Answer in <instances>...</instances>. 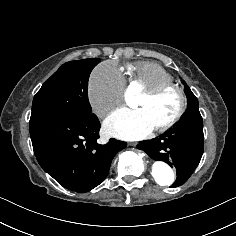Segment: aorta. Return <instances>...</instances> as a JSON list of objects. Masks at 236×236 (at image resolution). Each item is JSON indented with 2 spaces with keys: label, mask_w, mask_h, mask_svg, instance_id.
Wrapping results in <instances>:
<instances>
[{
  "label": "aorta",
  "mask_w": 236,
  "mask_h": 236,
  "mask_svg": "<svg viewBox=\"0 0 236 236\" xmlns=\"http://www.w3.org/2000/svg\"><path fill=\"white\" fill-rule=\"evenodd\" d=\"M130 102H133V95H130ZM152 176L160 186H170L175 180L172 168L163 161H155L152 166Z\"/></svg>",
  "instance_id": "1"
}]
</instances>
